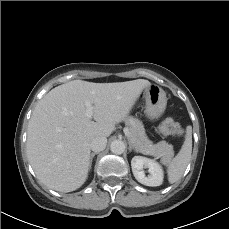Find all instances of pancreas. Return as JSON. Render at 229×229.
<instances>
[{
	"instance_id": "cf45deb5",
	"label": "pancreas",
	"mask_w": 229,
	"mask_h": 229,
	"mask_svg": "<svg viewBox=\"0 0 229 229\" xmlns=\"http://www.w3.org/2000/svg\"><path fill=\"white\" fill-rule=\"evenodd\" d=\"M126 126L130 131L129 140L135 149L143 154L153 155L156 158H162L169 161L174 155L173 146L166 141H160L153 144L145 133L142 122L136 118L129 117L126 120Z\"/></svg>"
}]
</instances>
